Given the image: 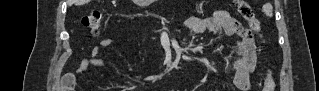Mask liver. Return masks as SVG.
Here are the masks:
<instances>
[{
	"label": "liver",
	"mask_w": 319,
	"mask_h": 91,
	"mask_svg": "<svg viewBox=\"0 0 319 91\" xmlns=\"http://www.w3.org/2000/svg\"><path fill=\"white\" fill-rule=\"evenodd\" d=\"M89 0H74V3L76 5H82V4H85L87 3Z\"/></svg>",
	"instance_id": "1"
}]
</instances>
